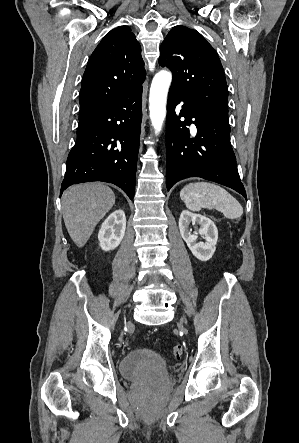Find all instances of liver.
Wrapping results in <instances>:
<instances>
[{
	"instance_id": "6515ba94",
	"label": "liver",
	"mask_w": 299,
	"mask_h": 443,
	"mask_svg": "<svg viewBox=\"0 0 299 443\" xmlns=\"http://www.w3.org/2000/svg\"><path fill=\"white\" fill-rule=\"evenodd\" d=\"M115 204V194L101 183L69 187L62 195V212L67 231L78 247H83L99 221Z\"/></svg>"
}]
</instances>
